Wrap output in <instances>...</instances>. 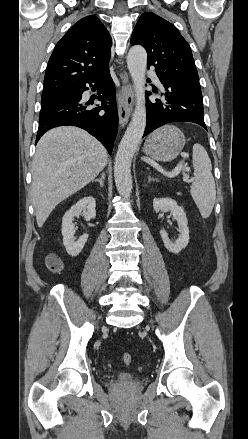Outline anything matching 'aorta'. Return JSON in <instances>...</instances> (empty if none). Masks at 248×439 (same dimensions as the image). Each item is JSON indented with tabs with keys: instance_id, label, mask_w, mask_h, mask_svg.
Listing matches in <instances>:
<instances>
[{
	"instance_id": "obj_1",
	"label": "aorta",
	"mask_w": 248,
	"mask_h": 439,
	"mask_svg": "<svg viewBox=\"0 0 248 439\" xmlns=\"http://www.w3.org/2000/svg\"><path fill=\"white\" fill-rule=\"evenodd\" d=\"M127 66L135 89L136 106L132 119L118 146L114 161L116 188L118 193L125 198L130 197L132 193L131 162L146 127L144 88L147 53L142 46L135 45L130 48L127 55Z\"/></svg>"
}]
</instances>
